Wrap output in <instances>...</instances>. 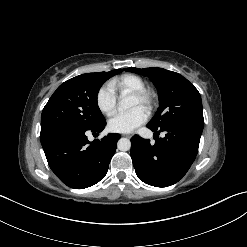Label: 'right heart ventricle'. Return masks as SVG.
<instances>
[{"instance_id": "obj_1", "label": "right heart ventricle", "mask_w": 247, "mask_h": 247, "mask_svg": "<svg viewBox=\"0 0 247 247\" xmlns=\"http://www.w3.org/2000/svg\"><path fill=\"white\" fill-rule=\"evenodd\" d=\"M113 91L120 94L133 93L146 89L145 80L136 74H125L111 83Z\"/></svg>"}]
</instances>
